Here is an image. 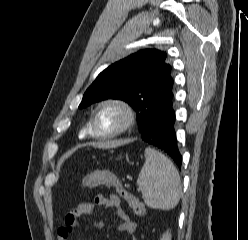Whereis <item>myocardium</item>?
I'll return each mask as SVG.
<instances>
[{"label":"myocardium","instance_id":"f54148a6","mask_svg":"<svg viewBox=\"0 0 248 240\" xmlns=\"http://www.w3.org/2000/svg\"><path fill=\"white\" fill-rule=\"evenodd\" d=\"M104 107H114L121 111V113L124 116V121L121 126H119L116 130L100 134L95 131V118L99 110H101ZM135 120V112L133 107L125 100L121 98H106L101 100L92 111L90 120H89V135L95 138L99 139H110L114 138L124 132H126L134 123Z\"/></svg>","mask_w":248,"mask_h":240}]
</instances>
